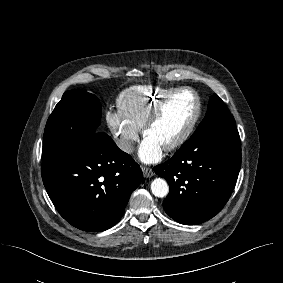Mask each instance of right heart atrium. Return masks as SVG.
I'll return each mask as SVG.
<instances>
[{
    "mask_svg": "<svg viewBox=\"0 0 283 283\" xmlns=\"http://www.w3.org/2000/svg\"><path fill=\"white\" fill-rule=\"evenodd\" d=\"M106 122L121 150L131 153L135 142L139 138V129L130 124L119 110L108 111L106 113Z\"/></svg>",
    "mask_w": 283,
    "mask_h": 283,
    "instance_id": "d8ad5b80",
    "label": "right heart atrium"
}]
</instances>
